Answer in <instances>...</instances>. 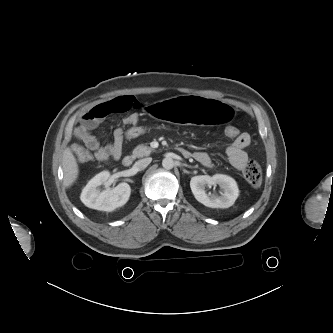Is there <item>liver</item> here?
I'll return each instance as SVG.
<instances>
[{"instance_id":"1","label":"liver","mask_w":333,"mask_h":333,"mask_svg":"<svg viewBox=\"0 0 333 333\" xmlns=\"http://www.w3.org/2000/svg\"><path fill=\"white\" fill-rule=\"evenodd\" d=\"M63 170L64 185L69 187L76 181L79 174L76 158L70 148H66L63 152Z\"/></svg>"}]
</instances>
